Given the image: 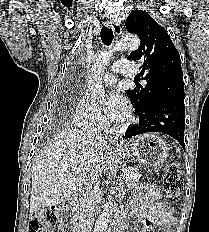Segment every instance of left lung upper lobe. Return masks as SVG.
<instances>
[{"label":"left lung upper lobe","mask_w":209,"mask_h":232,"mask_svg":"<svg viewBox=\"0 0 209 232\" xmlns=\"http://www.w3.org/2000/svg\"><path fill=\"white\" fill-rule=\"evenodd\" d=\"M125 25L141 39L140 47L128 59L143 62L140 76L147 79L145 87L129 90L135 113L161 102L184 101L180 55L167 31L143 10L132 11Z\"/></svg>","instance_id":"5c2ea615"}]
</instances>
